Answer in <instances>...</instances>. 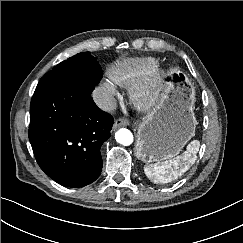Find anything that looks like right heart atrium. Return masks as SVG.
Returning <instances> with one entry per match:
<instances>
[{
    "mask_svg": "<svg viewBox=\"0 0 243 243\" xmlns=\"http://www.w3.org/2000/svg\"><path fill=\"white\" fill-rule=\"evenodd\" d=\"M119 95L117 86L109 81L105 80L100 87V106L104 110H109L113 107L116 98Z\"/></svg>",
    "mask_w": 243,
    "mask_h": 243,
    "instance_id": "d8ad5b80",
    "label": "right heart atrium"
}]
</instances>
